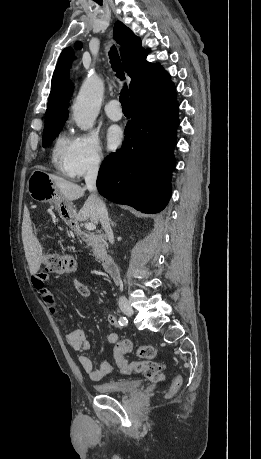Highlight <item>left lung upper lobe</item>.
<instances>
[{"mask_svg": "<svg viewBox=\"0 0 261 459\" xmlns=\"http://www.w3.org/2000/svg\"><path fill=\"white\" fill-rule=\"evenodd\" d=\"M81 44L80 43H76V48H80Z\"/></svg>", "mask_w": 261, "mask_h": 459, "instance_id": "obj_1", "label": "left lung upper lobe"}]
</instances>
